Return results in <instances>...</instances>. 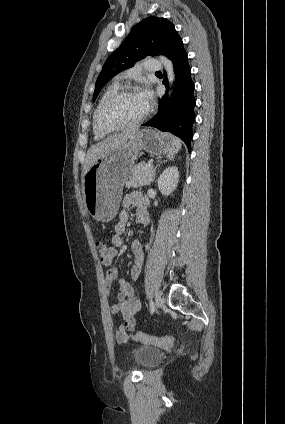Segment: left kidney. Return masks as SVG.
I'll return each instance as SVG.
<instances>
[{
	"label": "left kidney",
	"mask_w": 285,
	"mask_h": 424,
	"mask_svg": "<svg viewBox=\"0 0 285 424\" xmlns=\"http://www.w3.org/2000/svg\"><path fill=\"white\" fill-rule=\"evenodd\" d=\"M178 182V168L175 166L168 167L162 172L158 179V188L163 195L168 196L176 189Z\"/></svg>",
	"instance_id": "obj_1"
}]
</instances>
